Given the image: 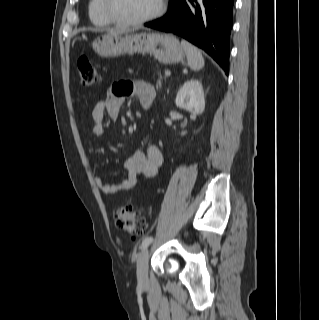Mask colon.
<instances>
[{"label": "colon", "mask_w": 319, "mask_h": 320, "mask_svg": "<svg viewBox=\"0 0 319 320\" xmlns=\"http://www.w3.org/2000/svg\"><path fill=\"white\" fill-rule=\"evenodd\" d=\"M76 63L81 84L84 86L93 85L98 79V73L90 60L85 55H79ZM115 221L117 226L130 238L141 235L146 230L144 220L128 206L116 210Z\"/></svg>", "instance_id": "obj_1"}]
</instances>
